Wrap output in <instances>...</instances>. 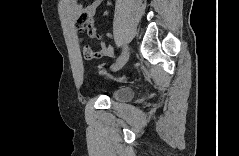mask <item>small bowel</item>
Instances as JSON below:
<instances>
[{
  "label": "small bowel",
  "instance_id": "1",
  "mask_svg": "<svg viewBox=\"0 0 239 156\" xmlns=\"http://www.w3.org/2000/svg\"><path fill=\"white\" fill-rule=\"evenodd\" d=\"M100 4V0H94L88 6L82 8L75 1L68 2V10L73 16L74 24L77 28L79 34L82 33L80 27L86 29L87 34L92 38H98L96 27L93 23V17L96 14L97 8ZM82 13H86L88 19L86 21H81L80 17ZM113 55L112 49L104 42L100 44V48L97 52L90 51L88 49L85 50V56L89 59H101L104 57H109Z\"/></svg>",
  "mask_w": 239,
  "mask_h": 156
}]
</instances>
